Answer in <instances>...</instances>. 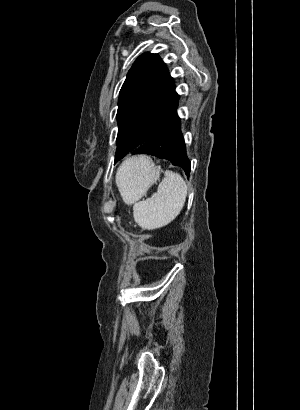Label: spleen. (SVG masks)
<instances>
[{
  "instance_id": "3e777b00",
  "label": "spleen",
  "mask_w": 300,
  "mask_h": 410,
  "mask_svg": "<svg viewBox=\"0 0 300 410\" xmlns=\"http://www.w3.org/2000/svg\"><path fill=\"white\" fill-rule=\"evenodd\" d=\"M136 168H138V159L132 158L122 163L117 170L116 184L124 200L129 189L130 177ZM186 196L187 185L181 175L166 170L157 192L150 198L134 204V220L143 229L161 228L179 215Z\"/></svg>"
}]
</instances>
